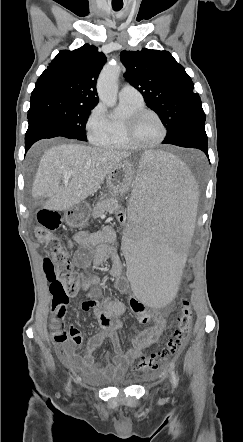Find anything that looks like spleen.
<instances>
[{"label":"spleen","instance_id":"1","mask_svg":"<svg viewBox=\"0 0 243 442\" xmlns=\"http://www.w3.org/2000/svg\"><path fill=\"white\" fill-rule=\"evenodd\" d=\"M130 185L129 219L124 230L126 280L143 307H164L179 291L190 256L195 180L183 164L160 147H147Z\"/></svg>","mask_w":243,"mask_h":442}]
</instances>
